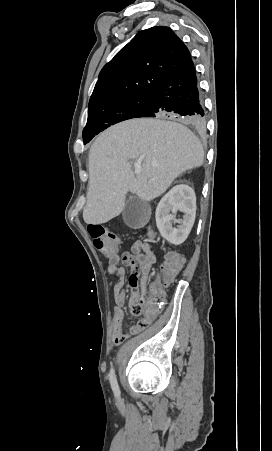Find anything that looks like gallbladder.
I'll return each mask as SVG.
<instances>
[{
    "label": "gallbladder",
    "instance_id": "obj_1",
    "mask_svg": "<svg viewBox=\"0 0 272 451\" xmlns=\"http://www.w3.org/2000/svg\"><path fill=\"white\" fill-rule=\"evenodd\" d=\"M149 204L137 196L128 198L123 210V220L129 227H143L149 220Z\"/></svg>",
    "mask_w": 272,
    "mask_h": 451
}]
</instances>
